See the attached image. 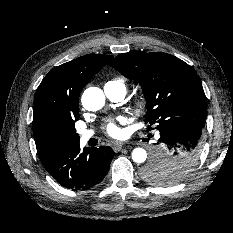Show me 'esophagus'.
<instances>
[{
  "instance_id": "1",
  "label": "esophagus",
  "mask_w": 233,
  "mask_h": 233,
  "mask_svg": "<svg viewBox=\"0 0 233 233\" xmlns=\"http://www.w3.org/2000/svg\"><path fill=\"white\" fill-rule=\"evenodd\" d=\"M123 146H124V143H122V142H116L113 145V150L115 152H118V151H120L123 148Z\"/></svg>"
}]
</instances>
